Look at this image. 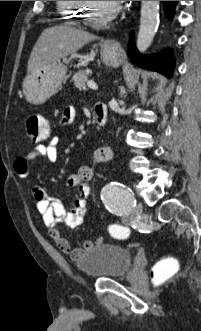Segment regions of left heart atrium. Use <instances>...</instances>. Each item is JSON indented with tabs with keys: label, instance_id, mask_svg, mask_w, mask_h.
I'll return each instance as SVG.
<instances>
[{
	"label": "left heart atrium",
	"instance_id": "1",
	"mask_svg": "<svg viewBox=\"0 0 201 331\" xmlns=\"http://www.w3.org/2000/svg\"><path fill=\"white\" fill-rule=\"evenodd\" d=\"M115 7L119 6L123 1H110Z\"/></svg>",
	"mask_w": 201,
	"mask_h": 331
}]
</instances>
